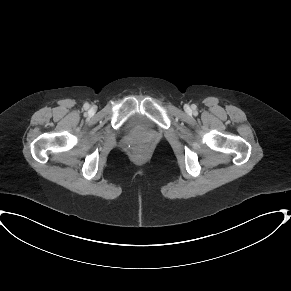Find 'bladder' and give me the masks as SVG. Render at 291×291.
Instances as JSON below:
<instances>
[{
	"mask_svg": "<svg viewBox=\"0 0 291 291\" xmlns=\"http://www.w3.org/2000/svg\"><path fill=\"white\" fill-rule=\"evenodd\" d=\"M140 119H134L130 121V125L133 128H136L139 125Z\"/></svg>",
	"mask_w": 291,
	"mask_h": 291,
	"instance_id": "bladder-1",
	"label": "bladder"
}]
</instances>
